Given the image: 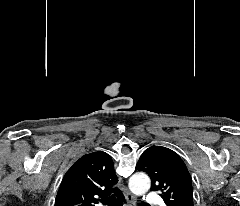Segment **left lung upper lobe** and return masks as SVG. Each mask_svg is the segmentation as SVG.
Returning a JSON list of instances; mask_svg holds the SVG:
<instances>
[{"instance_id":"5c2ea615","label":"left lung upper lobe","mask_w":240,"mask_h":206,"mask_svg":"<svg viewBox=\"0 0 240 206\" xmlns=\"http://www.w3.org/2000/svg\"><path fill=\"white\" fill-rule=\"evenodd\" d=\"M136 169L152 180V191H160L166 206H193L191 176L174 151L151 146L141 155Z\"/></svg>"}]
</instances>
